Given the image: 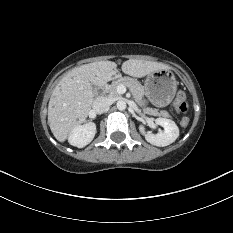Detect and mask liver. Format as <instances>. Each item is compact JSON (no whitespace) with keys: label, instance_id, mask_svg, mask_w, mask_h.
I'll return each mask as SVG.
<instances>
[{"label":"liver","instance_id":"liver-1","mask_svg":"<svg viewBox=\"0 0 233 233\" xmlns=\"http://www.w3.org/2000/svg\"><path fill=\"white\" fill-rule=\"evenodd\" d=\"M123 73L144 77L170 67L161 62L130 59L122 64ZM117 64L98 61L74 68L67 73L52 92L48 104V124L54 137L64 142L70 133L86 121L93 104V87L104 86L120 77Z\"/></svg>","mask_w":233,"mask_h":233}]
</instances>
